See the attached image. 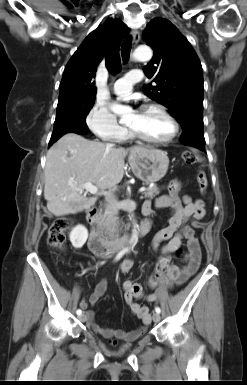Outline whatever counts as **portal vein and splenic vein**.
I'll return each mask as SVG.
<instances>
[{"instance_id": "obj_1", "label": "portal vein and splenic vein", "mask_w": 247, "mask_h": 385, "mask_svg": "<svg viewBox=\"0 0 247 385\" xmlns=\"http://www.w3.org/2000/svg\"><path fill=\"white\" fill-rule=\"evenodd\" d=\"M81 187L86 189L87 191H89L91 194H97L98 193V188L96 186H94L92 182H86V183L82 184ZM145 190L146 189L144 187H142L139 189V192L143 193ZM100 194L108 195L109 192L102 191Z\"/></svg>"}]
</instances>
